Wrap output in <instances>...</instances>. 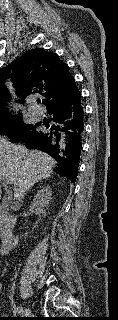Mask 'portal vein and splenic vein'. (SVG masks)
<instances>
[{
  "label": "portal vein and splenic vein",
  "instance_id": "obj_1",
  "mask_svg": "<svg viewBox=\"0 0 118 320\" xmlns=\"http://www.w3.org/2000/svg\"><path fill=\"white\" fill-rule=\"evenodd\" d=\"M3 182L7 185V184H12L13 182L9 179H2Z\"/></svg>",
  "mask_w": 118,
  "mask_h": 320
}]
</instances>
